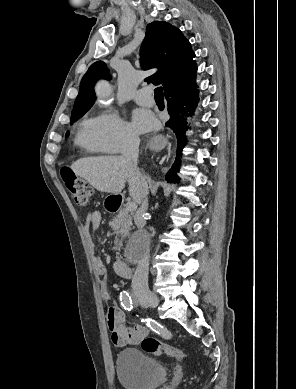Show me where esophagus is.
Wrapping results in <instances>:
<instances>
[{
	"mask_svg": "<svg viewBox=\"0 0 296 389\" xmlns=\"http://www.w3.org/2000/svg\"><path fill=\"white\" fill-rule=\"evenodd\" d=\"M168 139H169L168 135H165L164 138L163 137H159V136H155V137L150 136V137L147 138L146 143L150 147L155 146V147H158L161 150H164L168 146V143L166 141Z\"/></svg>",
	"mask_w": 296,
	"mask_h": 389,
	"instance_id": "1",
	"label": "esophagus"
}]
</instances>
